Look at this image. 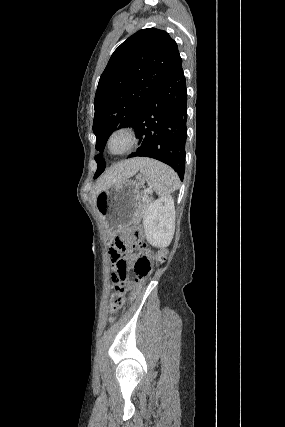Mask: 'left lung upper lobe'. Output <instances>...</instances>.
Returning a JSON list of instances; mask_svg holds the SVG:
<instances>
[{"instance_id": "1", "label": "left lung upper lobe", "mask_w": 285, "mask_h": 427, "mask_svg": "<svg viewBox=\"0 0 285 427\" xmlns=\"http://www.w3.org/2000/svg\"><path fill=\"white\" fill-rule=\"evenodd\" d=\"M177 43L163 30L142 29L112 54L94 99L93 132L103 152L112 132L132 126L158 85L179 59ZM97 178L105 169L102 154L95 156Z\"/></svg>"}]
</instances>
